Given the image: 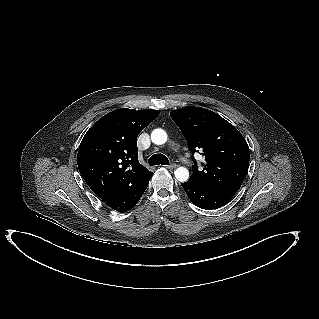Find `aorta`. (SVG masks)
Masks as SVG:
<instances>
[{
	"instance_id": "762f6f07",
	"label": "aorta",
	"mask_w": 319,
	"mask_h": 319,
	"mask_svg": "<svg viewBox=\"0 0 319 319\" xmlns=\"http://www.w3.org/2000/svg\"><path fill=\"white\" fill-rule=\"evenodd\" d=\"M167 138L166 131L161 128L154 129L151 133V141L157 145L164 144L167 141ZM174 175L179 182L183 183L189 179V170L185 167H178L174 171Z\"/></svg>"
}]
</instances>
